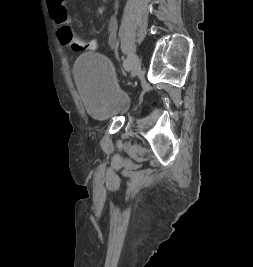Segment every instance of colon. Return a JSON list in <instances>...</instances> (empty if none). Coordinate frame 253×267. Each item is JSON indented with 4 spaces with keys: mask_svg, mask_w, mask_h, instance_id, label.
<instances>
[{
    "mask_svg": "<svg viewBox=\"0 0 253 267\" xmlns=\"http://www.w3.org/2000/svg\"><path fill=\"white\" fill-rule=\"evenodd\" d=\"M57 39L63 46L69 47L76 52L95 51L97 49V42L94 40H84L78 37L72 27L63 25L57 31Z\"/></svg>",
    "mask_w": 253,
    "mask_h": 267,
    "instance_id": "colon-1",
    "label": "colon"
}]
</instances>
